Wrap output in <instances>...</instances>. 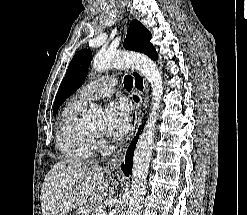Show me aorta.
I'll list each match as a JSON object with an SVG mask.
<instances>
[{
    "instance_id": "1",
    "label": "aorta",
    "mask_w": 247,
    "mask_h": 215,
    "mask_svg": "<svg viewBox=\"0 0 247 215\" xmlns=\"http://www.w3.org/2000/svg\"><path fill=\"white\" fill-rule=\"evenodd\" d=\"M135 68L139 70L152 88V107L142 134L136 144L133 155L131 197L127 215H141L146 192V181L155 137V126L163 94V81L157 65L147 56L129 52H100L93 58V68L101 71L106 68ZM103 111L97 105H91L84 116L88 126H99Z\"/></svg>"
}]
</instances>
